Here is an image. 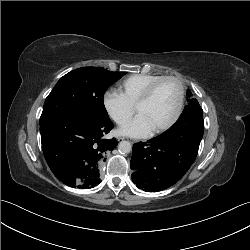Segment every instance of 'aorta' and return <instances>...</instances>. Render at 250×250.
<instances>
[{
    "mask_svg": "<svg viewBox=\"0 0 250 250\" xmlns=\"http://www.w3.org/2000/svg\"><path fill=\"white\" fill-rule=\"evenodd\" d=\"M118 150L123 154L130 153V151L132 150V145L128 141H121L118 144Z\"/></svg>",
    "mask_w": 250,
    "mask_h": 250,
    "instance_id": "762f6f07",
    "label": "aorta"
}]
</instances>
